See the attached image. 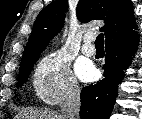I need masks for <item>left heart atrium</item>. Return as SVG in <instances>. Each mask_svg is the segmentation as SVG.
<instances>
[{
	"instance_id": "39dd6f15",
	"label": "left heart atrium",
	"mask_w": 142,
	"mask_h": 119,
	"mask_svg": "<svg viewBox=\"0 0 142 119\" xmlns=\"http://www.w3.org/2000/svg\"><path fill=\"white\" fill-rule=\"evenodd\" d=\"M96 74V69L90 64H82L78 68V75L83 81L88 82L94 80Z\"/></svg>"
}]
</instances>
